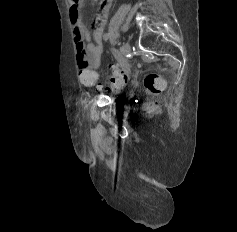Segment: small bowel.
I'll return each instance as SVG.
<instances>
[{
    "label": "small bowel",
    "mask_w": 237,
    "mask_h": 232,
    "mask_svg": "<svg viewBox=\"0 0 237 232\" xmlns=\"http://www.w3.org/2000/svg\"><path fill=\"white\" fill-rule=\"evenodd\" d=\"M84 0H71L70 18L73 24L76 44V58L80 70L97 69L102 60V36L106 25L108 11L114 0H100L99 12L93 21L92 33L84 26L81 9ZM98 1V0H95Z\"/></svg>",
    "instance_id": "small-bowel-1"
}]
</instances>
